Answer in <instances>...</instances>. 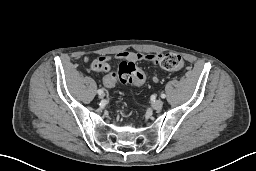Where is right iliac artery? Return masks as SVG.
<instances>
[{"instance_id": "82829eb1", "label": "right iliac artery", "mask_w": 256, "mask_h": 171, "mask_svg": "<svg viewBox=\"0 0 256 171\" xmlns=\"http://www.w3.org/2000/svg\"><path fill=\"white\" fill-rule=\"evenodd\" d=\"M97 92H98V94H101V93H103L104 91H103L102 89H99Z\"/></svg>"}]
</instances>
